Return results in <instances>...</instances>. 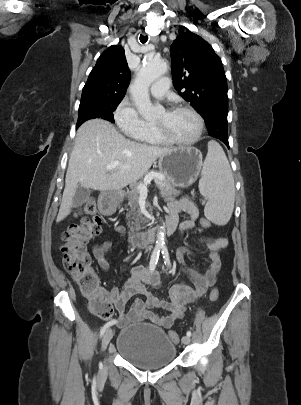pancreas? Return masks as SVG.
Masks as SVG:
<instances>
[{
	"label": "pancreas",
	"instance_id": "cf45deb5",
	"mask_svg": "<svg viewBox=\"0 0 301 405\" xmlns=\"http://www.w3.org/2000/svg\"><path fill=\"white\" fill-rule=\"evenodd\" d=\"M163 180H156L155 185L160 190L161 196L164 198L165 201L174 200L179 194L180 191L176 190L165 177L164 174ZM144 183L141 181L138 184H134L131 187V191L128 193V200L130 206V213L127 214V226L131 234L136 233L144 228L145 218L142 217L140 210H139V192L137 190L140 184ZM130 215H133L131 221L129 220Z\"/></svg>",
	"mask_w": 301,
	"mask_h": 405
}]
</instances>
